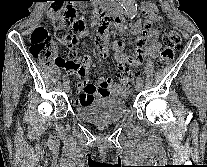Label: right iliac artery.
<instances>
[{
  "label": "right iliac artery",
  "mask_w": 207,
  "mask_h": 167,
  "mask_svg": "<svg viewBox=\"0 0 207 167\" xmlns=\"http://www.w3.org/2000/svg\"><path fill=\"white\" fill-rule=\"evenodd\" d=\"M65 84H69V80H65V81H64V85H65Z\"/></svg>",
  "instance_id": "1"
}]
</instances>
